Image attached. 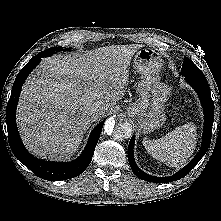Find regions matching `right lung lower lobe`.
I'll use <instances>...</instances> for the list:
<instances>
[{
	"instance_id": "98d812e1",
	"label": "right lung lower lobe",
	"mask_w": 221,
	"mask_h": 221,
	"mask_svg": "<svg viewBox=\"0 0 221 221\" xmlns=\"http://www.w3.org/2000/svg\"><path fill=\"white\" fill-rule=\"evenodd\" d=\"M43 55L34 56L18 73L13 84L10 99L6 109V124L10 148L15 157L40 178L57 181L80 175L88 167L94 154L105 120L99 123L92 131L85 150L81 156L72 162H47L33 157L23 146L17 125L16 108L21 88L29 73L36 67Z\"/></svg>"
}]
</instances>
